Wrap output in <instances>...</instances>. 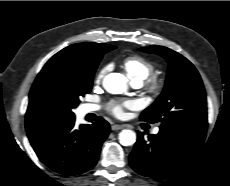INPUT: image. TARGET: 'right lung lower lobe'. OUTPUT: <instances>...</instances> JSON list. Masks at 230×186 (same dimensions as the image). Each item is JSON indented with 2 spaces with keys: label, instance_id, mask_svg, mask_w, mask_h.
I'll list each match as a JSON object with an SVG mask.
<instances>
[{
  "label": "right lung lower lobe",
  "instance_id": "1",
  "mask_svg": "<svg viewBox=\"0 0 230 186\" xmlns=\"http://www.w3.org/2000/svg\"><path fill=\"white\" fill-rule=\"evenodd\" d=\"M109 133V123L102 117L79 128L73 117L46 124L28 133V138L38 158L49 168L63 175H76L96 165Z\"/></svg>",
  "mask_w": 230,
  "mask_h": 186
}]
</instances>
